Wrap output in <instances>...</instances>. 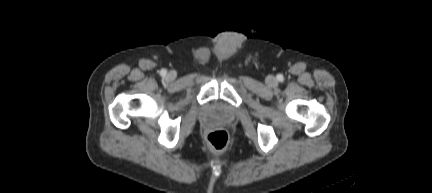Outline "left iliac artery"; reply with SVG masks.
Wrapping results in <instances>:
<instances>
[{"label":"left iliac artery","mask_w":432,"mask_h":193,"mask_svg":"<svg viewBox=\"0 0 432 193\" xmlns=\"http://www.w3.org/2000/svg\"><path fill=\"white\" fill-rule=\"evenodd\" d=\"M278 80H279V81H282V80H283L282 75H279V76H278Z\"/></svg>","instance_id":"44dca946"}]
</instances>
